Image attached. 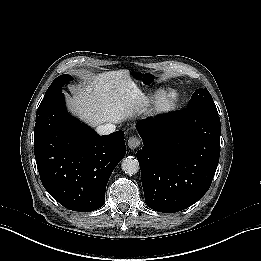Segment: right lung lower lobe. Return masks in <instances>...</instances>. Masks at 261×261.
Listing matches in <instances>:
<instances>
[{
    "label": "right lung lower lobe",
    "instance_id": "1",
    "mask_svg": "<svg viewBox=\"0 0 261 261\" xmlns=\"http://www.w3.org/2000/svg\"><path fill=\"white\" fill-rule=\"evenodd\" d=\"M34 153L49 194L67 209L89 212L105 203L110 175L126 153L124 132L99 136L67 113L61 93L36 114Z\"/></svg>",
    "mask_w": 261,
    "mask_h": 261
}]
</instances>
